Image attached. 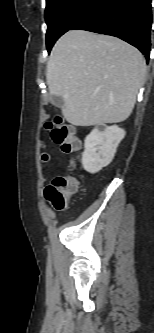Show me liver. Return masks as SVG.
I'll list each match as a JSON object with an SVG mask.
<instances>
[{"instance_id": "6515ba94", "label": "liver", "mask_w": 154, "mask_h": 333, "mask_svg": "<svg viewBox=\"0 0 154 333\" xmlns=\"http://www.w3.org/2000/svg\"><path fill=\"white\" fill-rule=\"evenodd\" d=\"M138 49L109 35L70 30L55 43L46 71L49 93L64 100L62 114L75 126L125 121L144 82Z\"/></svg>"}]
</instances>
